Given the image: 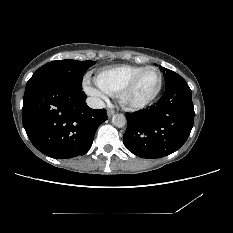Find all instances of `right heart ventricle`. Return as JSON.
Masks as SVG:
<instances>
[{
    "label": "right heart ventricle",
    "instance_id": "obj_1",
    "mask_svg": "<svg viewBox=\"0 0 233 233\" xmlns=\"http://www.w3.org/2000/svg\"><path fill=\"white\" fill-rule=\"evenodd\" d=\"M143 68V66L133 65L104 68L97 73L96 84L106 94L118 97L124 85Z\"/></svg>",
    "mask_w": 233,
    "mask_h": 233
}]
</instances>
